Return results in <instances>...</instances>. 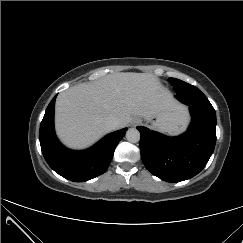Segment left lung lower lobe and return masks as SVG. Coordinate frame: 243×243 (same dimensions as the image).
<instances>
[{"label": "left lung lower lobe", "mask_w": 243, "mask_h": 243, "mask_svg": "<svg viewBox=\"0 0 243 243\" xmlns=\"http://www.w3.org/2000/svg\"><path fill=\"white\" fill-rule=\"evenodd\" d=\"M175 92V97L189 106L192 116L184 134L168 137L146 127H137L145 167L167 182H180L198 174L207 164L216 143V113L213 107L203 106L205 95L193 85Z\"/></svg>", "instance_id": "left-lung-lower-lobe-1"}]
</instances>
